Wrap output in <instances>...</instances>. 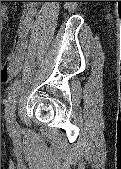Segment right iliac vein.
Wrapping results in <instances>:
<instances>
[{
    "label": "right iliac vein",
    "mask_w": 121,
    "mask_h": 169,
    "mask_svg": "<svg viewBox=\"0 0 121 169\" xmlns=\"http://www.w3.org/2000/svg\"><path fill=\"white\" fill-rule=\"evenodd\" d=\"M9 127L11 129H14L16 127V121H15V118L11 119L9 122Z\"/></svg>",
    "instance_id": "obj_1"
}]
</instances>
